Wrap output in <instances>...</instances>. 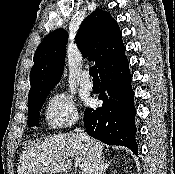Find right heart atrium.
<instances>
[{
  "mask_svg": "<svg viewBox=\"0 0 175 174\" xmlns=\"http://www.w3.org/2000/svg\"><path fill=\"white\" fill-rule=\"evenodd\" d=\"M45 117L47 123L54 128L73 124L78 118V113L72 96L65 92L52 95L46 103Z\"/></svg>",
  "mask_w": 175,
  "mask_h": 174,
  "instance_id": "right-heart-atrium-1",
  "label": "right heart atrium"
}]
</instances>
